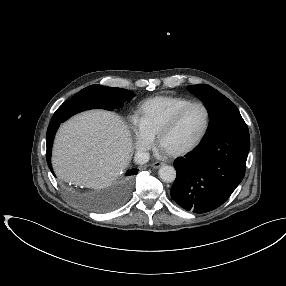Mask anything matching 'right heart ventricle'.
I'll return each mask as SVG.
<instances>
[{"label":"right heart ventricle","mask_w":286,"mask_h":286,"mask_svg":"<svg viewBox=\"0 0 286 286\" xmlns=\"http://www.w3.org/2000/svg\"><path fill=\"white\" fill-rule=\"evenodd\" d=\"M192 100L179 96H155L147 99L140 107V121L152 135L158 134L160 128L182 107Z\"/></svg>","instance_id":"1"}]
</instances>
